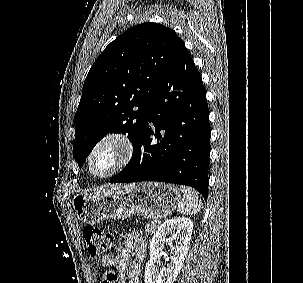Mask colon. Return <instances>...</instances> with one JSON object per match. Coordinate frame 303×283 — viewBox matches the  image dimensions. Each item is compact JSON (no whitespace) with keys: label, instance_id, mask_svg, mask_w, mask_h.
I'll return each mask as SVG.
<instances>
[{"label":"colon","instance_id":"1","mask_svg":"<svg viewBox=\"0 0 303 283\" xmlns=\"http://www.w3.org/2000/svg\"><path fill=\"white\" fill-rule=\"evenodd\" d=\"M86 248L91 255H99L108 250H111L114 246V240L111 234L97 226L89 225L83 232ZM115 275L114 271H111Z\"/></svg>","mask_w":303,"mask_h":283}]
</instances>
